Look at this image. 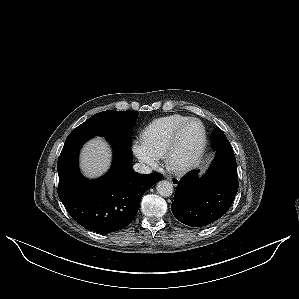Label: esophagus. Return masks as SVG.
Wrapping results in <instances>:
<instances>
[{
    "label": "esophagus",
    "instance_id": "1",
    "mask_svg": "<svg viewBox=\"0 0 299 299\" xmlns=\"http://www.w3.org/2000/svg\"><path fill=\"white\" fill-rule=\"evenodd\" d=\"M167 179L174 185V186H178L180 179L177 177H173V176H167Z\"/></svg>",
    "mask_w": 299,
    "mask_h": 299
}]
</instances>
